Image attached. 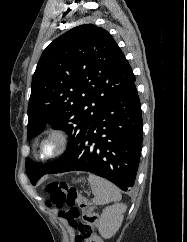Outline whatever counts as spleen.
<instances>
[{
  "instance_id": "obj_1",
  "label": "spleen",
  "mask_w": 187,
  "mask_h": 242,
  "mask_svg": "<svg viewBox=\"0 0 187 242\" xmlns=\"http://www.w3.org/2000/svg\"><path fill=\"white\" fill-rule=\"evenodd\" d=\"M88 181L91 185L92 193L94 195L93 203L96 205H105L121 199L119 189L106 179L90 174Z\"/></svg>"
}]
</instances>
